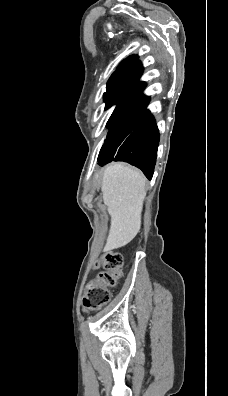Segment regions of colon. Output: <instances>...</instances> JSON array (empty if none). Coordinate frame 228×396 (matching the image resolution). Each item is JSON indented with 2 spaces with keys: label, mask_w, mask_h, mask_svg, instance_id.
I'll use <instances>...</instances> for the list:
<instances>
[{
  "label": "colon",
  "mask_w": 228,
  "mask_h": 396,
  "mask_svg": "<svg viewBox=\"0 0 228 396\" xmlns=\"http://www.w3.org/2000/svg\"><path fill=\"white\" fill-rule=\"evenodd\" d=\"M122 266L123 257L118 252H106L99 258L95 267L101 271L88 283L83 296L86 311L97 310L109 302L111 289L122 275Z\"/></svg>",
  "instance_id": "obj_1"
}]
</instances>
